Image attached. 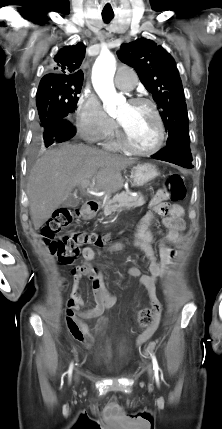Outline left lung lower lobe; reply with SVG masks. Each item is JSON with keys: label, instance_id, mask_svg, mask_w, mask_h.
I'll list each match as a JSON object with an SVG mask.
<instances>
[{"label": "left lung lower lobe", "instance_id": "0a47b994", "mask_svg": "<svg viewBox=\"0 0 222 429\" xmlns=\"http://www.w3.org/2000/svg\"><path fill=\"white\" fill-rule=\"evenodd\" d=\"M152 158L167 161L184 168H193L190 143L175 141L151 156Z\"/></svg>", "mask_w": 222, "mask_h": 429}]
</instances>
